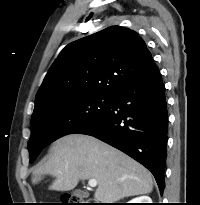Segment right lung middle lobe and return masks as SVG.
<instances>
[{
  "label": "right lung middle lobe",
  "mask_w": 200,
  "mask_h": 205,
  "mask_svg": "<svg viewBox=\"0 0 200 205\" xmlns=\"http://www.w3.org/2000/svg\"><path fill=\"white\" fill-rule=\"evenodd\" d=\"M111 103L112 97L108 96H79L52 104L32 116L28 142L30 163L56 139L95 123L108 112Z\"/></svg>",
  "instance_id": "1"
}]
</instances>
